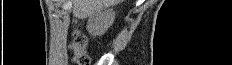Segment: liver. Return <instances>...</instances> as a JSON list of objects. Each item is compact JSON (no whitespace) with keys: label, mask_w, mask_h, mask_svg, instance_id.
Segmentation results:
<instances>
[{"label":"liver","mask_w":232,"mask_h":65,"mask_svg":"<svg viewBox=\"0 0 232 65\" xmlns=\"http://www.w3.org/2000/svg\"><path fill=\"white\" fill-rule=\"evenodd\" d=\"M73 4V15L76 18L84 19L103 8L117 5L123 0H71Z\"/></svg>","instance_id":"6515ba94"}]
</instances>
